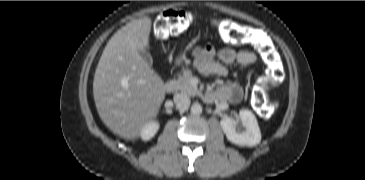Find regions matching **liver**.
<instances>
[{
    "mask_svg": "<svg viewBox=\"0 0 365 180\" xmlns=\"http://www.w3.org/2000/svg\"><path fill=\"white\" fill-rule=\"evenodd\" d=\"M151 19H135L108 41L97 65L93 95L99 117L121 138L135 140L157 117L164 82L140 56L149 48Z\"/></svg>",
    "mask_w": 365,
    "mask_h": 180,
    "instance_id": "liver-1",
    "label": "liver"
}]
</instances>
